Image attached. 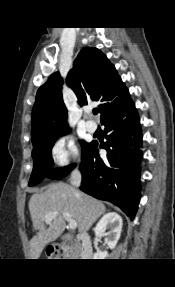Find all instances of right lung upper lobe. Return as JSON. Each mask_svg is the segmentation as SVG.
Instances as JSON below:
<instances>
[{
	"label": "right lung upper lobe",
	"mask_w": 175,
	"mask_h": 287,
	"mask_svg": "<svg viewBox=\"0 0 175 287\" xmlns=\"http://www.w3.org/2000/svg\"><path fill=\"white\" fill-rule=\"evenodd\" d=\"M66 83L77 95L80 105L90 101L99 102L101 118L131 99L114 65L96 48L81 50L67 75ZM62 84L63 79L56 72L37 91L32 112L33 143L69 129Z\"/></svg>",
	"instance_id": "obj_1"
}]
</instances>
